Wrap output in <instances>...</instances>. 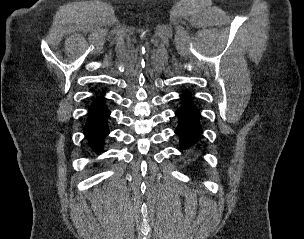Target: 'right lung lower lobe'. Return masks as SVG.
Masks as SVG:
<instances>
[{
  "label": "right lung lower lobe",
  "instance_id": "right-lung-lower-lobe-1",
  "mask_svg": "<svg viewBox=\"0 0 304 239\" xmlns=\"http://www.w3.org/2000/svg\"><path fill=\"white\" fill-rule=\"evenodd\" d=\"M110 112L103 102V98L96 100L89 108V115L84 134L88 139L90 146L98 151L103 139L109 134L107 127V118Z\"/></svg>",
  "mask_w": 304,
  "mask_h": 239
}]
</instances>
